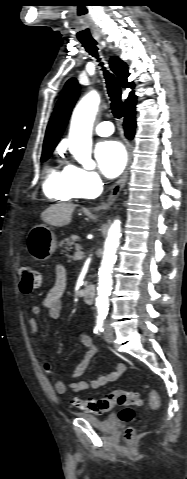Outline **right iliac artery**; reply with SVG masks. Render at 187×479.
Wrapping results in <instances>:
<instances>
[{
	"mask_svg": "<svg viewBox=\"0 0 187 479\" xmlns=\"http://www.w3.org/2000/svg\"><path fill=\"white\" fill-rule=\"evenodd\" d=\"M104 319H105L104 316L97 317L96 326L94 328V333L95 334H100L103 331V321H104Z\"/></svg>",
	"mask_w": 187,
	"mask_h": 479,
	"instance_id": "obj_1",
	"label": "right iliac artery"
}]
</instances>
